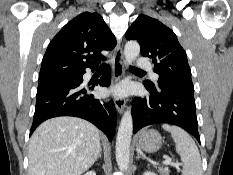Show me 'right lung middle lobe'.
<instances>
[{"mask_svg":"<svg viewBox=\"0 0 233 175\" xmlns=\"http://www.w3.org/2000/svg\"><path fill=\"white\" fill-rule=\"evenodd\" d=\"M78 74L39 78L38 89L44 86L77 79Z\"/></svg>","mask_w":233,"mask_h":175,"instance_id":"1","label":"right lung middle lobe"}]
</instances>
